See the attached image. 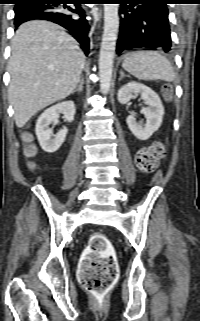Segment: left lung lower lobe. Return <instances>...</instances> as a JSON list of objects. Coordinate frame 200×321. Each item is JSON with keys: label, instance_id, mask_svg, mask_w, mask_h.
<instances>
[{"label": "left lung lower lobe", "instance_id": "0a47b994", "mask_svg": "<svg viewBox=\"0 0 200 321\" xmlns=\"http://www.w3.org/2000/svg\"><path fill=\"white\" fill-rule=\"evenodd\" d=\"M121 4L117 53L133 48L171 50L166 4L171 0H117Z\"/></svg>", "mask_w": 200, "mask_h": 321}]
</instances>
